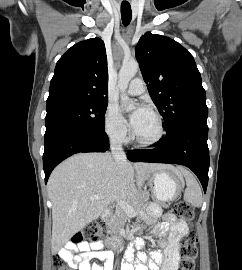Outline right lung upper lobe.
<instances>
[{
  "label": "right lung upper lobe",
  "mask_w": 242,
  "mask_h": 270,
  "mask_svg": "<svg viewBox=\"0 0 242 270\" xmlns=\"http://www.w3.org/2000/svg\"><path fill=\"white\" fill-rule=\"evenodd\" d=\"M68 100H108V70L104 42L81 41L58 60L47 105Z\"/></svg>",
  "instance_id": "cb5924a9"
}]
</instances>
